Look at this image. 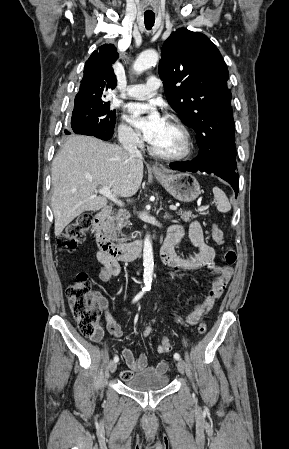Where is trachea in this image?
<instances>
[{
  "label": "trachea",
  "mask_w": 289,
  "mask_h": 449,
  "mask_svg": "<svg viewBox=\"0 0 289 449\" xmlns=\"http://www.w3.org/2000/svg\"><path fill=\"white\" fill-rule=\"evenodd\" d=\"M144 23L147 30H150L155 23L154 13H144Z\"/></svg>",
  "instance_id": "obj_1"
}]
</instances>
